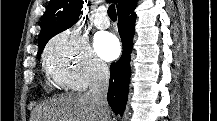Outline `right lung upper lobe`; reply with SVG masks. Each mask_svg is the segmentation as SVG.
<instances>
[{
  "label": "right lung upper lobe",
  "mask_w": 217,
  "mask_h": 121,
  "mask_svg": "<svg viewBox=\"0 0 217 121\" xmlns=\"http://www.w3.org/2000/svg\"><path fill=\"white\" fill-rule=\"evenodd\" d=\"M123 1L112 0L117 8ZM83 3L82 0H50L40 24L39 51L44 49L49 39L77 22Z\"/></svg>",
  "instance_id": "1"
}]
</instances>
